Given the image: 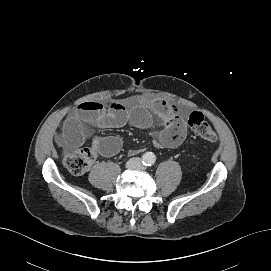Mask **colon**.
Listing matches in <instances>:
<instances>
[{
  "label": "colon",
  "instance_id": "1",
  "mask_svg": "<svg viewBox=\"0 0 271 271\" xmlns=\"http://www.w3.org/2000/svg\"><path fill=\"white\" fill-rule=\"evenodd\" d=\"M188 125L196 136L207 142H215L217 135L204 115L197 111L187 114ZM96 158V152L91 148L76 149L64 158V165L70 173L79 176L88 171Z\"/></svg>",
  "mask_w": 271,
  "mask_h": 271
}]
</instances>
